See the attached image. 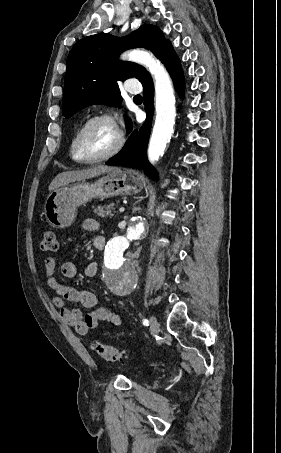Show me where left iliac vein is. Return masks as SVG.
Returning <instances> with one entry per match:
<instances>
[{
	"instance_id": "1",
	"label": "left iliac vein",
	"mask_w": 281,
	"mask_h": 453,
	"mask_svg": "<svg viewBox=\"0 0 281 453\" xmlns=\"http://www.w3.org/2000/svg\"><path fill=\"white\" fill-rule=\"evenodd\" d=\"M149 327L151 329L150 335L154 337V334H157L158 332V322L156 321V317H151V320L149 322Z\"/></svg>"
}]
</instances>
